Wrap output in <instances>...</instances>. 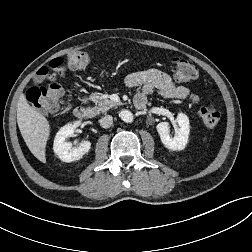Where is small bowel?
<instances>
[{"instance_id":"small-bowel-1","label":"small bowel","mask_w":252,"mask_h":252,"mask_svg":"<svg viewBox=\"0 0 252 252\" xmlns=\"http://www.w3.org/2000/svg\"><path fill=\"white\" fill-rule=\"evenodd\" d=\"M126 84L130 88H139L135 96V105L139 108L155 91L163 97L174 99H184L190 94L188 87L175 84L168 74L154 68L130 74Z\"/></svg>"}]
</instances>
